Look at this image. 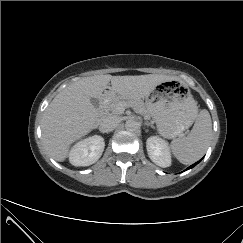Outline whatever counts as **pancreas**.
<instances>
[{"instance_id":"1","label":"pancreas","mask_w":243,"mask_h":243,"mask_svg":"<svg viewBox=\"0 0 243 243\" xmlns=\"http://www.w3.org/2000/svg\"><path fill=\"white\" fill-rule=\"evenodd\" d=\"M120 104H124L126 107H132L136 112L145 114L146 108L144 103L139 99H128L122 96H116L110 100L105 106V109L112 114L118 115L121 112L118 110Z\"/></svg>"}]
</instances>
